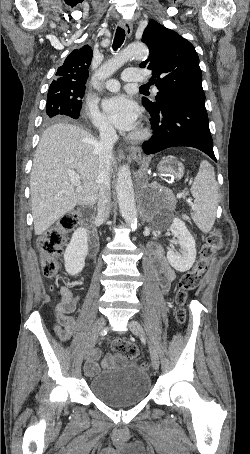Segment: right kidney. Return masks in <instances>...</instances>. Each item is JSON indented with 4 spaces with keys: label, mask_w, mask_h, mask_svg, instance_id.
Returning a JSON list of instances; mask_svg holds the SVG:
<instances>
[{
    "label": "right kidney",
    "mask_w": 250,
    "mask_h": 454,
    "mask_svg": "<svg viewBox=\"0 0 250 454\" xmlns=\"http://www.w3.org/2000/svg\"><path fill=\"white\" fill-rule=\"evenodd\" d=\"M88 235L84 228H78L68 244L65 253V269L70 275L79 274L85 266L88 254Z\"/></svg>",
    "instance_id": "obj_1"
}]
</instances>
